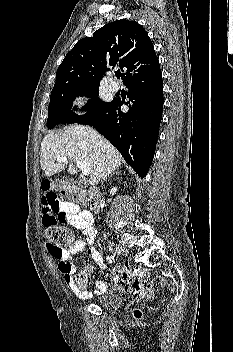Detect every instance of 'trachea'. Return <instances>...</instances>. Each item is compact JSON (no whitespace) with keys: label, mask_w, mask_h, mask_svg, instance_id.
I'll return each mask as SVG.
<instances>
[{"label":"trachea","mask_w":233,"mask_h":352,"mask_svg":"<svg viewBox=\"0 0 233 352\" xmlns=\"http://www.w3.org/2000/svg\"><path fill=\"white\" fill-rule=\"evenodd\" d=\"M116 75H117V78H120V77L122 78V74L121 73H117Z\"/></svg>","instance_id":"trachea-1"}]
</instances>
